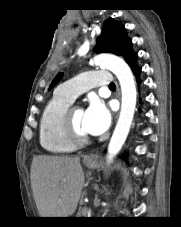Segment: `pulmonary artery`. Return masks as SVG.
Masks as SVG:
<instances>
[{
    "label": "pulmonary artery",
    "mask_w": 181,
    "mask_h": 227,
    "mask_svg": "<svg viewBox=\"0 0 181 227\" xmlns=\"http://www.w3.org/2000/svg\"><path fill=\"white\" fill-rule=\"evenodd\" d=\"M111 83L110 72L106 70L89 71L62 83L57 87L56 92L73 102L87 90L96 86H109Z\"/></svg>",
    "instance_id": "e3ab8cb5"
}]
</instances>
